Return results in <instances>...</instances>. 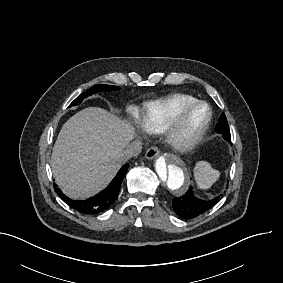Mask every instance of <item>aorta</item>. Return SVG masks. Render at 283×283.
<instances>
[{
  "mask_svg": "<svg viewBox=\"0 0 283 283\" xmlns=\"http://www.w3.org/2000/svg\"><path fill=\"white\" fill-rule=\"evenodd\" d=\"M156 178L162 191L181 195L189 186V174L180 157L166 153L155 162Z\"/></svg>",
  "mask_w": 283,
  "mask_h": 283,
  "instance_id": "762f6f07",
  "label": "aorta"
}]
</instances>
